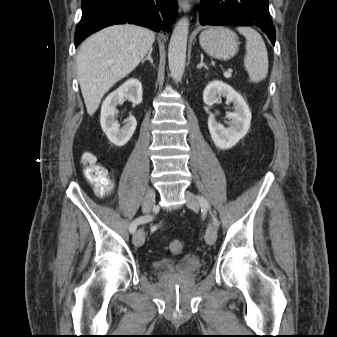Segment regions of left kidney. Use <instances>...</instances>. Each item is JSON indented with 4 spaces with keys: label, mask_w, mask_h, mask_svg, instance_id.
Segmentation results:
<instances>
[{
    "label": "left kidney",
    "mask_w": 337,
    "mask_h": 337,
    "mask_svg": "<svg viewBox=\"0 0 337 337\" xmlns=\"http://www.w3.org/2000/svg\"><path fill=\"white\" fill-rule=\"evenodd\" d=\"M221 96L233 103L235 111L226 115L230 120L227 128L218 123L214 115L208 118V128L215 145L226 150L236 145L247 134L252 116L243 97L222 81H212L206 86L203 101L206 105L212 106L219 101Z\"/></svg>",
    "instance_id": "5707ae66"
}]
</instances>
